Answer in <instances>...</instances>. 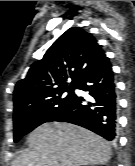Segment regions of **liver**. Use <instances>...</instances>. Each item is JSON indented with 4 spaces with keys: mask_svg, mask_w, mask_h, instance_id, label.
Here are the masks:
<instances>
[{
    "mask_svg": "<svg viewBox=\"0 0 135 166\" xmlns=\"http://www.w3.org/2000/svg\"><path fill=\"white\" fill-rule=\"evenodd\" d=\"M30 151L11 166H82L108 162L111 146L95 133L69 123H45L28 137Z\"/></svg>",
    "mask_w": 135,
    "mask_h": 166,
    "instance_id": "1",
    "label": "liver"
}]
</instances>
